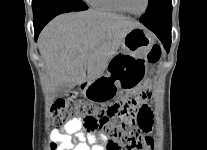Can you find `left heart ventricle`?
<instances>
[{
	"instance_id": "left-heart-ventricle-1",
	"label": "left heart ventricle",
	"mask_w": 207,
	"mask_h": 150,
	"mask_svg": "<svg viewBox=\"0 0 207 150\" xmlns=\"http://www.w3.org/2000/svg\"><path fill=\"white\" fill-rule=\"evenodd\" d=\"M128 7L133 11V12H141L144 7L146 0H126Z\"/></svg>"
}]
</instances>
